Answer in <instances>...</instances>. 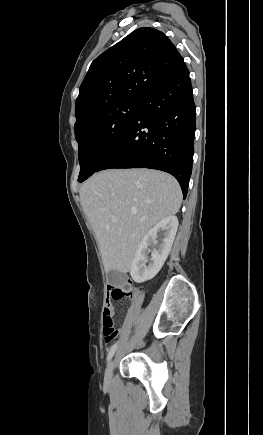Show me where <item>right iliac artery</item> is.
<instances>
[{
	"instance_id": "obj_1",
	"label": "right iliac artery",
	"mask_w": 263,
	"mask_h": 435,
	"mask_svg": "<svg viewBox=\"0 0 263 435\" xmlns=\"http://www.w3.org/2000/svg\"><path fill=\"white\" fill-rule=\"evenodd\" d=\"M116 348H117V343H115V344L110 348V351H109L108 356H107V361H109V360L113 357V355H114V353H115V351H116Z\"/></svg>"
}]
</instances>
